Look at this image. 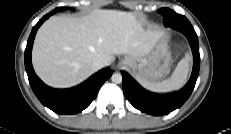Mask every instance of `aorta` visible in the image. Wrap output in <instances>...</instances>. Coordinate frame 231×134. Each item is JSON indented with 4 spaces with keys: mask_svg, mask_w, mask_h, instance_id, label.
Masks as SVG:
<instances>
[{
    "mask_svg": "<svg viewBox=\"0 0 231 134\" xmlns=\"http://www.w3.org/2000/svg\"><path fill=\"white\" fill-rule=\"evenodd\" d=\"M111 80L114 83H121L122 82V75L120 73H113L111 76Z\"/></svg>",
    "mask_w": 231,
    "mask_h": 134,
    "instance_id": "762f6f07",
    "label": "aorta"
}]
</instances>
